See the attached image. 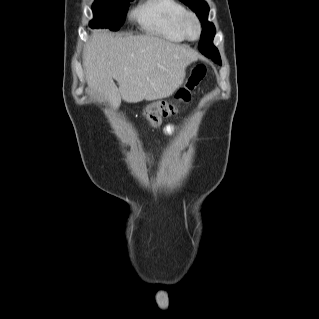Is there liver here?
<instances>
[{
  "mask_svg": "<svg viewBox=\"0 0 319 319\" xmlns=\"http://www.w3.org/2000/svg\"><path fill=\"white\" fill-rule=\"evenodd\" d=\"M197 59L194 50L160 37L96 30L86 44L83 66L91 91L117 109L121 100L137 103L171 96L182 85L186 67Z\"/></svg>",
  "mask_w": 319,
  "mask_h": 319,
  "instance_id": "6515ba94",
  "label": "liver"
}]
</instances>
